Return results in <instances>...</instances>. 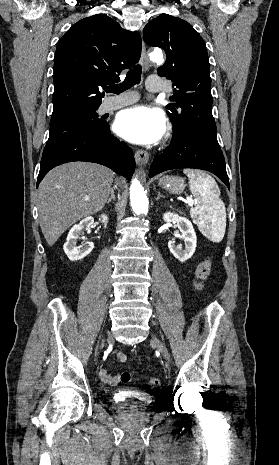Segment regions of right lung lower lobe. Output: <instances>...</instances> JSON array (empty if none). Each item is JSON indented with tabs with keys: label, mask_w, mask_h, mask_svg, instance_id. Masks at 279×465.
Here are the masks:
<instances>
[{
	"label": "right lung lower lobe",
	"mask_w": 279,
	"mask_h": 465,
	"mask_svg": "<svg viewBox=\"0 0 279 465\" xmlns=\"http://www.w3.org/2000/svg\"><path fill=\"white\" fill-rule=\"evenodd\" d=\"M72 161L95 162L111 168L130 181L135 170L132 149L114 137L109 125L94 133H84L43 155L37 186L49 170Z\"/></svg>",
	"instance_id": "obj_1"
}]
</instances>
